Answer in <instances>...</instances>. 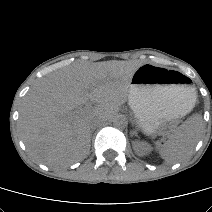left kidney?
<instances>
[{
  "instance_id": "5707ae66",
  "label": "left kidney",
  "mask_w": 212,
  "mask_h": 212,
  "mask_svg": "<svg viewBox=\"0 0 212 212\" xmlns=\"http://www.w3.org/2000/svg\"><path fill=\"white\" fill-rule=\"evenodd\" d=\"M135 144H136V150L139 155H144L151 149V147L144 142H135Z\"/></svg>"
}]
</instances>
